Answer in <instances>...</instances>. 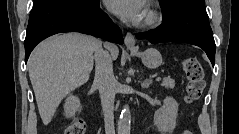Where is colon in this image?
<instances>
[{
    "label": "colon",
    "mask_w": 239,
    "mask_h": 134,
    "mask_svg": "<svg viewBox=\"0 0 239 134\" xmlns=\"http://www.w3.org/2000/svg\"><path fill=\"white\" fill-rule=\"evenodd\" d=\"M182 68L188 79L185 101L190 103L200 98L205 89V72L199 60L192 57L183 59ZM85 131V122L83 120H76L65 129L64 134H84ZM183 133L190 134L189 131H184Z\"/></svg>",
    "instance_id": "colon-1"
}]
</instances>
